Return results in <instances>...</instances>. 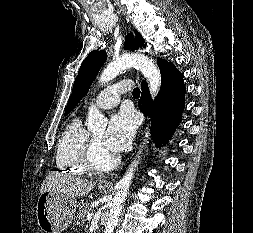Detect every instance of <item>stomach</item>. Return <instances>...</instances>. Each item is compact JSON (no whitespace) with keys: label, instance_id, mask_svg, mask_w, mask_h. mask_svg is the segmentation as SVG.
<instances>
[{"label":"stomach","instance_id":"1","mask_svg":"<svg viewBox=\"0 0 253 233\" xmlns=\"http://www.w3.org/2000/svg\"><path fill=\"white\" fill-rule=\"evenodd\" d=\"M101 193L107 190L99 188ZM77 202L74 197L58 191H45L37 202V221L44 233H61L73 219Z\"/></svg>","mask_w":253,"mask_h":233}]
</instances>
